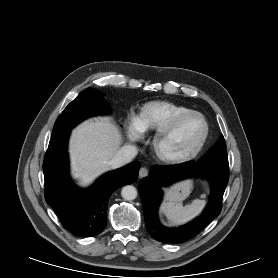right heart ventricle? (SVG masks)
<instances>
[{
  "label": "right heart ventricle",
  "mask_w": 278,
  "mask_h": 278,
  "mask_svg": "<svg viewBox=\"0 0 278 278\" xmlns=\"http://www.w3.org/2000/svg\"><path fill=\"white\" fill-rule=\"evenodd\" d=\"M190 108L168 101H151L143 105L137 121L142 131H159Z\"/></svg>",
  "instance_id": "1"
}]
</instances>
